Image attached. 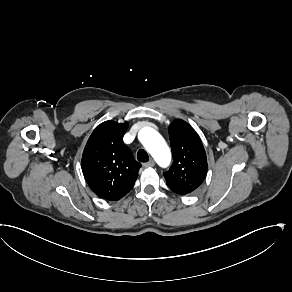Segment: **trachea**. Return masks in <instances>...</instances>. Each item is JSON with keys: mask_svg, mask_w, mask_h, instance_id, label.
<instances>
[{"mask_svg": "<svg viewBox=\"0 0 292 292\" xmlns=\"http://www.w3.org/2000/svg\"><path fill=\"white\" fill-rule=\"evenodd\" d=\"M137 159L142 162V163H146L149 161V156H148V153L143 150V149H140L138 152H137Z\"/></svg>", "mask_w": 292, "mask_h": 292, "instance_id": "3493384b", "label": "trachea"}]
</instances>
